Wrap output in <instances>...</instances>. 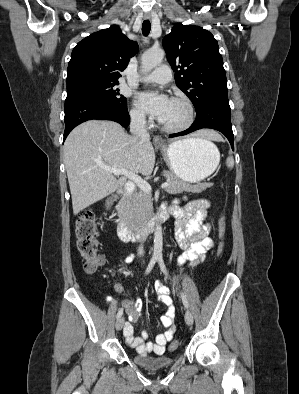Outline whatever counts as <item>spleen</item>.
<instances>
[{
	"instance_id": "3e777b00",
	"label": "spleen",
	"mask_w": 299,
	"mask_h": 394,
	"mask_svg": "<svg viewBox=\"0 0 299 394\" xmlns=\"http://www.w3.org/2000/svg\"><path fill=\"white\" fill-rule=\"evenodd\" d=\"M209 142H210V144H212L211 141H209ZM226 166H227L228 168H230V169H232V168L234 167V159H233L232 156H229V157L226 159Z\"/></svg>"
}]
</instances>
